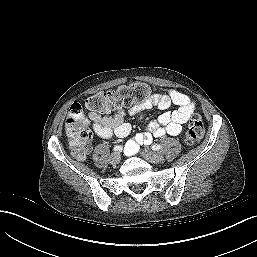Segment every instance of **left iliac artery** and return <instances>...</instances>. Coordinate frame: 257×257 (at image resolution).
<instances>
[{
  "label": "left iliac artery",
  "instance_id": "obj_1",
  "mask_svg": "<svg viewBox=\"0 0 257 257\" xmlns=\"http://www.w3.org/2000/svg\"><path fill=\"white\" fill-rule=\"evenodd\" d=\"M151 148H152V150L157 151V150L161 149V146L159 144H154V145H152Z\"/></svg>",
  "mask_w": 257,
  "mask_h": 257
}]
</instances>
